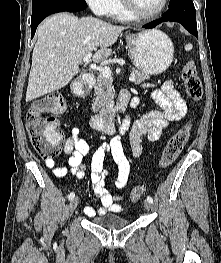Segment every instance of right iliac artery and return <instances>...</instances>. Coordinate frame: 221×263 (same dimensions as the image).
I'll list each match as a JSON object with an SVG mask.
<instances>
[{
	"mask_svg": "<svg viewBox=\"0 0 221 263\" xmlns=\"http://www.w3.org/2000/svg\"><path fill=\"white\" fill-rule=\"evenodd\" d=\"M74 197H75V193L73 192L68 195L69 200L73 199Z\"/></svg>",
	"mask_w": 221,
	"mask_h": 263,
	"instance_id": "82829eb1",
	"label": "right iliac artery"
}]
</instances>
